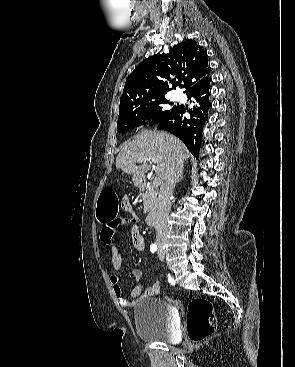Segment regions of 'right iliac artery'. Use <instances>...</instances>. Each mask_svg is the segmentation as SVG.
Listing matches in <instances>:
<instances>
[{
    "label": "right iliac artery",
    "mask_w": 295,
    "mask_h": 367,
    "mask_svg": "<svg viewBox=\"0 0 295 367\" xmlns=\"http://www.w3.org/2000/svg\"><path fill=\"white\" fill-rule=\"evenodd\" d=\"M150 251H151L152 253L156 252V251H157V245L152 244V245L150 246Z\"/></svg>",
    "instance_id": "right-iliac-artery-1"
}]
</instances>
